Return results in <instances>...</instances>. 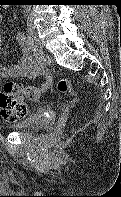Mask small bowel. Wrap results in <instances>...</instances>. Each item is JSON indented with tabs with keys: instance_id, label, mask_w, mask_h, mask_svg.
Wrapping results in <instances>:
<instances>
[{
	"instance_id": "small-bowel-1",
	"label": "small bowel",
	"mask_w": 121,
	"mask_h": 197,
	"mask_svg": "<svg viewBox=\"0 0 121 197\" xmlns=\"http://www.w3.org/2000/svg\"><path fill=\"white\" fill-rule=\"evenodd\" d=\"M2 15L0 14V24ZM14 41L19 45L21 57L16 63L0 62V78L4 77H19L28 76L35 77L40 74L45 75V80L39 87H32L35 92V97L32 100H37L43 93L48 91L52 85V78L43 67L41 57L34 53L28 38L22 32H17L14 36ZM5 38L0 34V50L3 48Z\"/></svg>"
}]
</instances>
